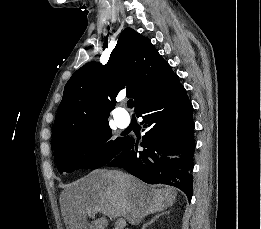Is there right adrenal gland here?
<instances>
[{"instance_id": "right-adrenal-gland-1", "label": "right adrenal gland", "mask_w": 261, "mask_h": 229, "mask_svg": "<svg viewBox=\"0 0 261 229\" xmlns=\"http://www.w3.org/2000/svg\"><path fill=\"white\" fill-rule=\"evenodd\" d=\"M170 211H165V213H160V215H169ZM160 215H154V217H152L151 221H148V223H146V225H143L142 229H146V227H148V225H152V223H155V221H157V219H159Z\"/></svg>"}]
</instances>
